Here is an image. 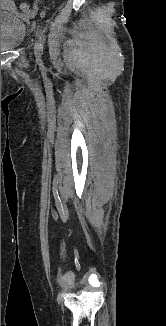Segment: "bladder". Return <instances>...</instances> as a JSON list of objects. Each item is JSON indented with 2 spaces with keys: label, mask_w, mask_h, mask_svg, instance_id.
Masks as SVG:
<instances>
[{
  "label": "bladder",
  "mask_w": 166,
  "mask_h": 326,
  "mask_svg": "<svg viewBox=\"0 0 166 326\" xmlns=\"http://www.w3.org/2000/svg\"><path fill=\"white\" fill-rule=\"evenodd\" d=\"M25 23L19 16L1 11V52L17 48L25 36Z\"/></svg>",
  "instance_id": "obj_1"
}]
</instances>
